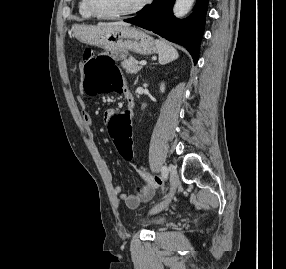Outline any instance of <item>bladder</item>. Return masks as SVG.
<instances>
[{"mask_svg": "<svg viewBox=\"0 0 286 269\" xmlns=\"http://www.w3.org/2000/svg\"><path fill=\"white\" fill-rule=\"evenodd\" d=\"M166 222H167L166 217H158V216H154V215L149 214V213L142 214L139 217L140 225L147 227L149 229H156V228L164 225Z\"/></svg>", "mask_w": 286, "mask_h": 269, "instance_id": "obj_1", "label": "bladder"}]
</instances>
